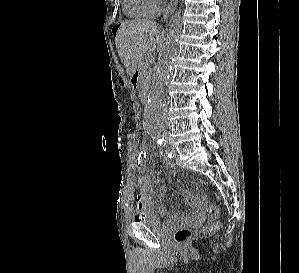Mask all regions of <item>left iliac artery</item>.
I'll list each match as a JSON object with an SVG mask.
<instances>
[{
  "instance_id": "44dca946",
  "label": "left iliac artery",
  "mask_w": 299,
  "mask_h": 273,
  "mask_svg": "<svg viewBox=\"0 0 299 273\" xmlns=\"http://www.w3.org/2000/svg\"><path fill=\"white\" fill-rule=\"evenodd\" d=\"M159 144L164 146L166 144V141H164V140L160 141ZM166 153H167V156L169 158H173L174 157V154H173V152L171 150H167Z\"/></svg>"
}]
</instances>
